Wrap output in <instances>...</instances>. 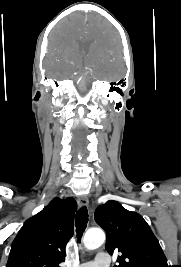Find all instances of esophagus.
I'll return each instance as SVG.
<instances>
[{
    "label": "esophagus",
    "mask_w": 181,
    "mask_h": 267,
    "mask_svg": "<svg viewBox=\"0 0 181 267\" xmlns=\"http://www.w3.org/2000/svg\"><path fill=\"white\" fill-rule=\"evenodd\" d=\"M78 203L82 207H87L89 205V200L86 196H81L78 198Z\"/></svg>",
    "instance_id": "esophagus-1"
}]
</instances>
